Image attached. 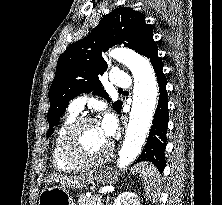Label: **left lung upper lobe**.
<instances>
[{
	"label": "left lung upper lobe",
	"mask_w": 222,
	"mask_h": 205,
	"mask_svg": "<svg viewBox=\"0 0 222 205\" xmlns=\"http://www.w3.org/2000/svg\"><path fill=\"white\" fill-rule=\"evenodd\" d=\"M151 35L153 30L145 23L144 14L124 7L116 8L104 16L86 38L70 45L58 59L56 75L48 93L50 109L47 114V137L53 133V127L59 122L69 101L80 93L93 91L94 95L109 101L99 80V75L107 68L102 51L116 44H124L141 53ZM121 107V101L113 104V109L118 113Z\"/></svg>",
	"instance_id": "left-lung-upper-lobe-1"
}]
</instances>
